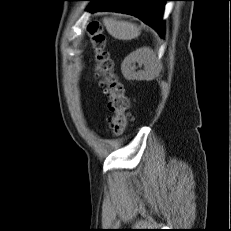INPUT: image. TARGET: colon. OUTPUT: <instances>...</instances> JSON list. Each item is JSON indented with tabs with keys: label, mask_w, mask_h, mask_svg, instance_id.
Here are the masks:
<instances>
[{
	"label": "colon",
	"mask_w": 231,
	"mask_h": 231,
	"mask_svg": "<svg viewBox=\"0 0 231 231\" xmlns=\"http://www.w3.org/2000/svg\"><path fill=\"white\" fill-rule=\"evenodd\" d=\"M89 33L95 47L96 73L102 77L101 85L109 98V127L113 135L119 136L125 132L131 120L132 100L114 74L113 62L105 50V36L100 32L97 22L89 25Z\"/></svg>",
	"instance_id": "colon-1"
}]
</instances>
